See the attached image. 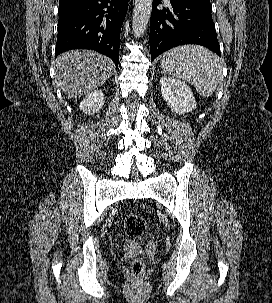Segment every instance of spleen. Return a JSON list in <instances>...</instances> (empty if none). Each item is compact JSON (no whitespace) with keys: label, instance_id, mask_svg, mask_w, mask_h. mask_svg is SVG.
I'll use <instances>...</instances> for the list:
<instances>
[{"label":"spleen","instance_id":"obj_1","mask_svg":"<svg viewBox=\"0 0 272 303\" xmlns=\"http://www.w3.org/2000/svg\"><path fill=\"white\" fill-rule=\"evenodd\" d=\"M161 67L165 74L193 85L202 97L212 96L222 78L219 57L198 45H184L167 51L161 59Z\"/></svg>","mask_w":272,"mask_h":303}]
</instances>
